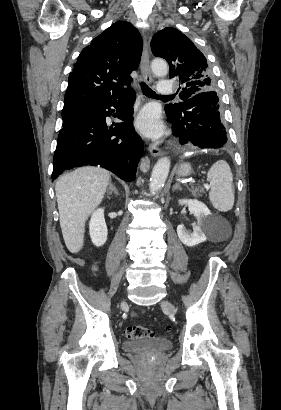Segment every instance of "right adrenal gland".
Wrapping results in <instances>:
<instances>
[{
  "mask_svg": "<svg viewBox=\"0 0 281 410\" xmlns=\"http://www.w3.org/2000/svg\"><path fill=\"white\" fill-rule=\"evenodd\" d=\"M113 192H114L116 195H119V193H118V191H117L115 185L110 182V185H109L107 194H108V195H111Z\"/></svg>",
  "mask_w": 281,
  "mask_h": 410,
  "instance_id": "1",
  "label": "right adrenal gland"
}]
</instances>
